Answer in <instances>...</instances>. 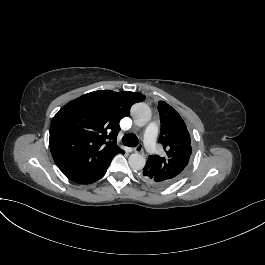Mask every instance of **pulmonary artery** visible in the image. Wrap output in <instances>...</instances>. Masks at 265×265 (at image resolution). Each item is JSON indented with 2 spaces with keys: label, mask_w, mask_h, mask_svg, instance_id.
Listing matches in <instances>:
<instances>
[{
  "label": "pulmonary artery",
  "mask_w": 265,
  "mask_h": 265,
  "mask_svg": "<svg viewBox=\"0 0 265 265\" xmlns=\"http://www.w3.org/2000/svg\"><path fill=\"white\" fill-rule=\"evenodd\" d=\"M145 138H146V141H147V150H148V153L149 154H156L157 153V143H156V130H155V127L154 126H147L146 127V130H145Z\"/></svg>",
  "instance_id": "e3ab8cb5"
}]
</instances>
